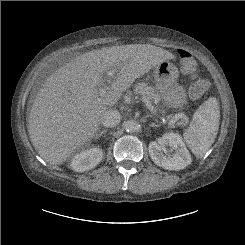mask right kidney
I'll return each mask as SVG.
<instances>
[{
  "label": "right kidney",
  "instance_id": "right-kidney-1",
  "mask_svg": "<svg viewBox=\"0 0 245 245\" xmlns=\"http://www.w3.org/2000/svg\"><path fill=\"white\" fill-rule=\"evenodd\" d=\"M103 157L100 148L94 147L76 154L71 160V168L77 172H83L94 168Z\"/></svg>",
  "mask_w": 245,
  "mask_h": 245
}]
</instances>
